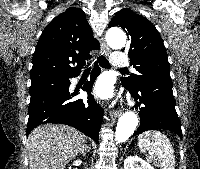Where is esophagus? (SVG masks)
<instances>
[{
  "mask_svg": "<svg viewBox=\"0 0 200 169\" xmlns=\"http://www.w3.org/2000/svg\"><path fill=\"white\" fill-rule=\"evenodd\" d=\"M101 40H102V47H103V50H104V54L106 56H108L109 53H110V48L106 45V43L104 42L103 38ZM120 115H121V111H119V110H113L111 112V116L112 117H119Z\"/></svg>",
  "mask_w": 200,
  "mask_h": 169,
  "instance_id": "34e87169",
  "label": "esophagus"
}]
</instances>
